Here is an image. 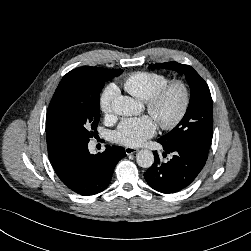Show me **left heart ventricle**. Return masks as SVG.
Returning a JSON list of instances; mask_svg holds the SVG:
<instances>
[{
  "instance_id": "b2bd125f",
  "label": "left heart ventricle",
  "mask_w": 251,
  "mask_h": 251,
  "mask_svg": "<svg viewBox=\"0 0 251 251\" xmlns=\"http://www.w3.org/2000/svg\"><path fill=\"white\" fill-rule=\"evenodd\" d=\"M181 103V94L174 90L170 92L161 103L158 115L160 118L168 120L171 119L179 109Z\"/></svg>"
}]
</instances>
